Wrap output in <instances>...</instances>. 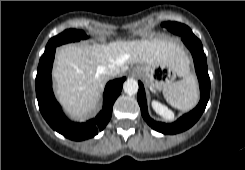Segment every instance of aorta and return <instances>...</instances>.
Returning <instances> with one entry per match:
<instances>
[{
    "label": "aorta",
    "instance_id": "obj_1",
    "mask_svg": "<svg viewBox=\"0 0 245 170\" xmlns=\"http://www.w3.org/2000/svg\"><path fill=\"white\" fill-rule=\"evenodd\" d=\"M138 83L134 79H128L123 84V90L129 95H134L138 92Z\"/></svg>",
    "mask_w": 245,
    "mask_h": 170
}]
</instances>
